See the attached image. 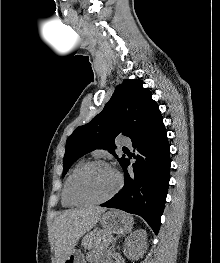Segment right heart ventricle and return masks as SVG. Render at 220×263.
<instances>
[{
    "label": "right heart ventricle",
    "mask_w": 220,
    "mask_h": 263,
    "mask_svg": "<svg viewBox=\"0 0 220 263\" xmlns=\"http://www.w3.org/2000/svg\"><path fill=\"white\" fill-rule=\"evenodd\" d=\"M85 163V160L84 159H81L79 160L74 166L73 168L71 169L70 173L68 174L67 178L65 179V182H64V185H63V189H62V204L65 206V207H72V206H75V204H73L69 198H68V182H69V179L71 177V175L74 173V171L80 167L82 164Z\"/></svg>",
    "instance_id": "right-heart-ventricle-1"
}]
</instances>
